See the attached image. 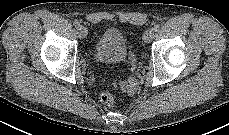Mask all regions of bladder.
<instances>
[{
  "label": "bladder",
  "mask_w": 229,
  "mask_h": 135,
  "mask_svg": "<svg viewBox=\"0 0 229 135\" xmlns=\"http://www.w3.org/2000/svg\"><path fill=\"white\" fill-rule=\"evenodd\" d=\"M127 46L120 29L107 27L98 37L93 50V59L102 64H117L127 56Z\"/></svg>",
  "instance_id": "obj_1"
}]
</instances>
